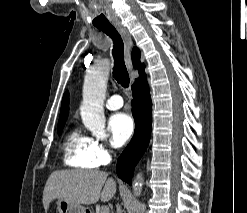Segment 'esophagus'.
I'll list each match as a JSON object with an SVG mask.
<instances>
[{"label": "esophagus", "mask_w": 247, "mask_h": 213, "mask_svg": "<svg viewBox=\"0 0 247 213\" xmlns=\"http://www.w3.org/2000/svg\"><path fill=\"white\" fill-rule=\"evenodd\" d=\"M113 25L117 29V31L120 33L124 41L126 65H127L128 70L132 72L133 66H132V61H131V51L133 48V42H132L131 36L128 33L127 29L120 22H114Z\"/></svg>", "instance_id": "obj_1"}]
</instances>
